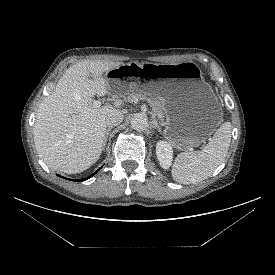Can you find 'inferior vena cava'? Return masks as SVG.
<instances>
[{"label": "inferior vena cava", "instance_id": "inferior-vena-cava-1", "mask_svg": "<svg viewBox=\"0 0 275 275\" xmlns=\"http://www.w3.org/2000/svg\"><path fill=\"white\" fill-rule=\"evenodd\" d=\"M124 115L122 112L115 110L110 112L106 116L105 123L108 127H113L119 125L123 121Z\"/></svg>", "mask_w": 275, "mask_h": 275}]
</instances>
